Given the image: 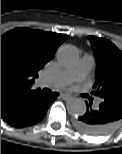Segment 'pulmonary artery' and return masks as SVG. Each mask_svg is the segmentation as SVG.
Listing matches in <instances>:
<instances>
[{
    "label": "pulmonary artery",
    "mask_w": 122,
    "mask_h": 154,
    "mask_svg": "<svg viewBox=\"0 0 122 154\" xmlns=\"http://www.w3.org/2000/svg\"><path fill=\"white\" fill-rule=\"evenodd\" d=\"M94 66V57L91 55H84L74 66L64 69L55 75L44 76L41 81L43 85L51 88H61L73 81L83 82Z\"/></svg>",
    "instance_id": "obj_1"
}]
</instances>
